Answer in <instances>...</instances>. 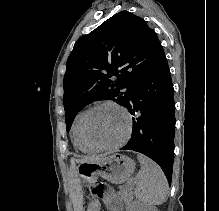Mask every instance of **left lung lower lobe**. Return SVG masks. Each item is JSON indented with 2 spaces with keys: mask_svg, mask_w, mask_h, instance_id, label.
I'll use <instances>...</instances> for the list:
<instances>
[{
  "mask_svg": "<svg viewBox=\"0 0 219 211\" xmlns=\"http://www.w3.org/2000/svg\"><path fill=\"white\" fill-rule=\"evenodd\" d=\"M165 54L134 84L125 107L134 116L129 142L121 149L140 152L154 160L172 180L175 102Z\"/></svg>",
  "mask_w": 219,
  "mask_h": 211,
  "instance_id": "left-lung-lower-lobe-1",
  "label": "left lung lower lobe"
}]
</instances>
